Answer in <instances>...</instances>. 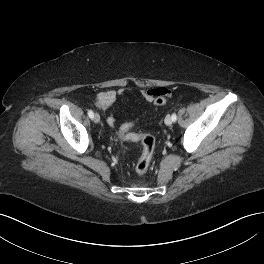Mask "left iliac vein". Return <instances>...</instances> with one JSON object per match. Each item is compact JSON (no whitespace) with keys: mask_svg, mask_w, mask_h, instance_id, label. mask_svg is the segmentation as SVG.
Masks as SVG:
<instances>
[{"mask_svg":"<svg viewBox=\"0 0 264 264\" xmlns=\"http://www.w3.org/2000/svg\"><path fill=\"white\" fill-rule=\"evenodd\" d=\"M172 118H171V116L170 115H167L166 117H165V124L167 125V126H170L171 124H172Z\"/></svg>","mask_w":264,"mask_h":264,"instance_id":"obj_1","label":"left iliac vein"}]
</instances>
